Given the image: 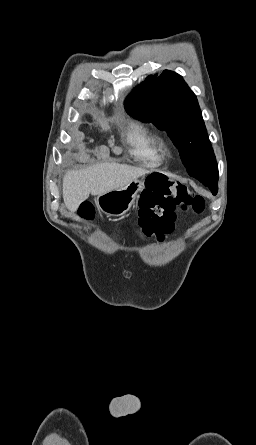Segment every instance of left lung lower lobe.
Wrapping results in <instances>:
<instances>
[{"mask_svg": "<svg viewBox=\"0 0 256 445\" xmlns=\"http://www.w3.org/2000/svg\"><path fill=\"white\" fill-rule=\"evenodd\" d=\"M194 178L198 179L205 186L209 187L210 190L212 191L213 195L217 194V191H218V187H217L218 179H212V178H207V177H197V176H195Z\"/></svg>", "mask_w": 256, "mask_h": 445, "instance_id": "left-lung-lower-lobe-1", "label": "left lung lower lobe"}]
</instances>
